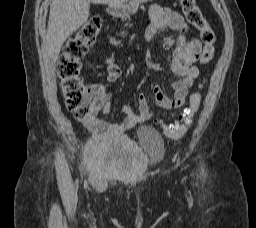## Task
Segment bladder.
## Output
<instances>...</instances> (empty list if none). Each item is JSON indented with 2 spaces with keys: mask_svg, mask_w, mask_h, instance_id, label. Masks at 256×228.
Listing matches in <instances>:
<instances>
[{
  "mask_svg": "<svg viewBox=\"0 0 256 228\" xmlns=\"http://www.w3.org/2000/svg\"><path fill=\"white\" fill-rule=\"evenodd\" d=\"M141 144L126 136H99L91 139L86 154L91 169L102 178H127L142 174L164 154L160 133L152 128L140 130Z\"/></svg>",
  "mask_w": 256,
  "mask_h": 228,
  "instance_id": "31cf9c89",
  "label": "bladder"
}]
</instances>
